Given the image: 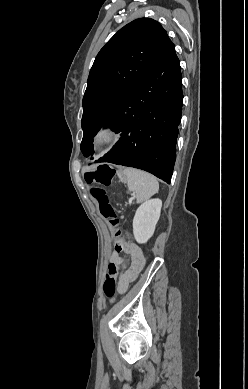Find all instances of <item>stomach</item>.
<instances>
[{
    "instance_id": "obj_1",
    "label": "stomach",
    "mask_w": 248,
    "mask_h": 389,
    "mask_svg": "<svg viewBox=\"0 0 248 389\" xmlns=\"http://www.w3.org/2000/svg\"><path fill=\"white\" fill-rule=\"evenodd\" d=\"M115 169L117 170V175L118 176H122V179L124 180L125 179L124 176L126 175V170L125 169H120L119 165H116Z\"/></svg>"
}]
</instances>
